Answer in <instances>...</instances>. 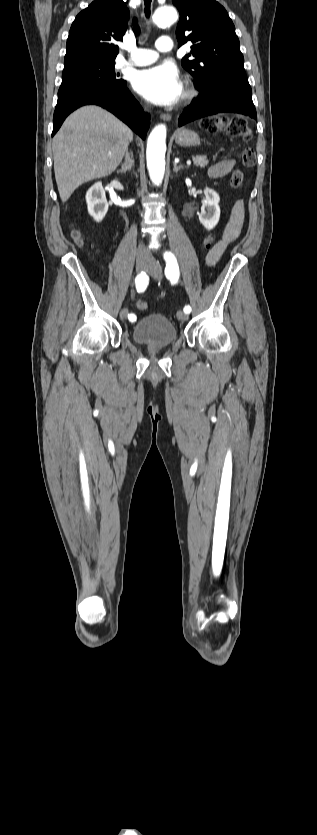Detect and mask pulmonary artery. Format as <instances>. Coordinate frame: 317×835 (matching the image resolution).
Wrapping results in <instances>:
<instances>
[{
	"mask_svg": "<svg viewBox=\"0 0 317 835\" xmlns=\"http://www.w3.org/2000/svg\"><path fill=\"white\" fill-rule=\"evenodd\" d=\"M155 47L159 52H169L173 48V41L169 36H161L157 39ZM157 51L146 48H135L132 50V58L125 63L135 66L149 65L157 60Z\"/></svg>",
	"mask_w": 317,
	"mask_h": 835,
	"instance_id": "e3ab8cb5",
	"label": "pulmonary artery"
}]
</instances>
